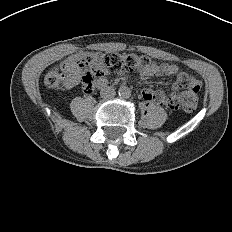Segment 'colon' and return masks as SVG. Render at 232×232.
I'll use <instances>...</instances> for the list:
<instances>
[{"label": "colon", "mask_w": 232, "mask_h": 232, "mask_svg": "<svg viewBox=\"0 0 232 232\" xmlns=\"http://www.w3.org/2000/svg\"><path fill=\"white\" fill-rule=\"evenodd\" d=\"M75 64L84 69L82 84L85 92H90L96 77L124 69L144 72L154 63L146 56L121 53H96L75 59ZM64 64L50 68L44 78L45 85L50 89H60L65 85ZM199 88L192 87L185 78L175 83L170 95L158 93L155 102L176 110L180 105L187 111L193 110L199 99Z\"/></svg>", "instance_id": "5ec220e1"}]
</instances>
